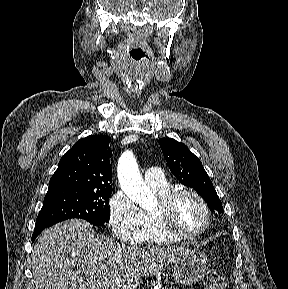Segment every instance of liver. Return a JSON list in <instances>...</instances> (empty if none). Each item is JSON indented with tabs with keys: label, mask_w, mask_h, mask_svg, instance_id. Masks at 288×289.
Instances as JSON below:
<instances>
[{
	"label": "liver",
	"mask_w": 288,
	"mask_h": 289,
	"mask_svg": "<svg viewBox=\"0 0 288 289\" xmlns=\"http://www.w3.org/2000/svg\"><path fill=\"white\" fill-rule=\"evenodd\" d=\"M186 252L178 247L126 246L96 237L85 220L70 219L38 238L32 272L36 289H93L76 266L96 280L97 289H137L142 276L155 275Z\"/></svg>",
	"instance_id": "6515ba94"
}]
</instances>
